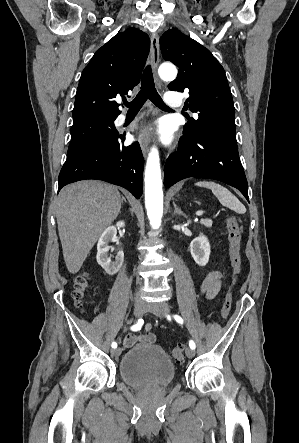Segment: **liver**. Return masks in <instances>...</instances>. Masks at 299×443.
Segmentation results:
<instances>
[{
  "label": "liver",
  "mask_w": 299,
  "mask_h": 443,
  "mask_svg": "<svg viewBox=\"0 0 299 443\" xmlns=\"http://www.w3.org/2000/svg\"><path fill=\"white\" fill-rule=\"evenodd\" d=\"M122 198L115 186L84 180L64 187L56 218L68 271L76 274L102 232L117 218Z\"/></svg>",
  "instance_id": "6515ba94"
}]
</instances>
